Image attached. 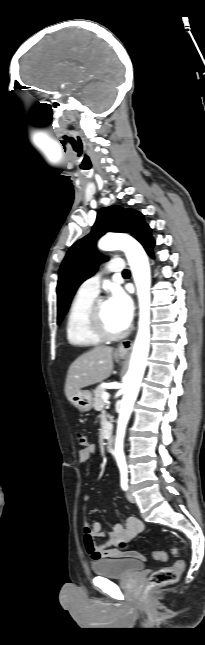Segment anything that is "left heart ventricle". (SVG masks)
I'll return each mask as SVG.
<instances>
[{"instance_id":"obj_1","label":"left heart ventricle","mask_w":205,"mask_h":645,"mask_svg":"<svg viewBox=\"0 0 205 645\" xmlns=\"http://www.w3.org/2000/svg\"><path fill=\"white\" fill-rule=\"evenodd\" d=\"M101 314L106 327L112 332H120L123 329L117 322L114 313L107 301L101 303Z\"/></svg>"}]
</instances>
